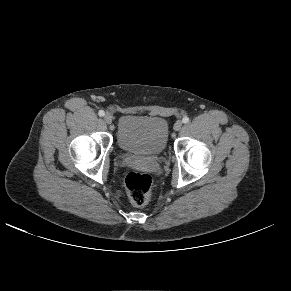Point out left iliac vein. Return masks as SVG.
Listing matches in <instances>:
<instances>
[{
	"instance_id": "1",
	"label": "left iliac vein",
	"mask_w": 291,
	"mask_h": 291,
	"mask_svg": "<svg viewBox=\"0 0 291 291\" xmlns=\"http://www.w3.org/2000/svg\"><path fill=\"white\" fill-rule=\"evenodd\" d=\"M181 128H182V122H181V121H177V122L174 124V130H175V131H179Z\"/></svg>"
}]
</instances>
